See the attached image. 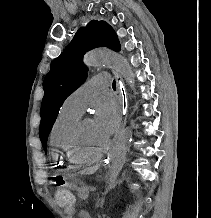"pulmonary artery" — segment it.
Here are the masks:
<instances>
[{"label": "pulmonary artery", "mask_w": 211, "mask_h": 218, "mask_svg": "<svg viewBox=\"0 0 211 218\" xmlns=\"http://www.w3.org/2000/svg\"><path fill=\"white\" fill-rule=\"evenodd\" d=\"M92 79H99V80H86V85L81 86L74 90L71 94L68 95V97L64 101V106L79 113L82 114L86 107V100L89 96V94L94 91H103V87H108V85H111V74H98L94 76Z\"/></svg>", "instance_id": "pulmonary-artery-1"}]
</instances>
